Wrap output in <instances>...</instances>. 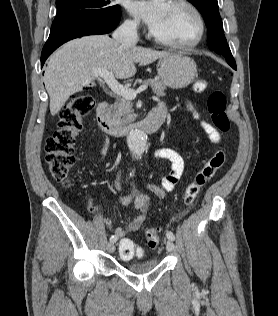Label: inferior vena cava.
<instances>
[{
	"label": "inferior vena cava",
	"instance_id": "obj_1",
	"mask_svg": "<svg viewBox=\"0 0 278 316\" xmlns=\"http://www.w3.org/2000/svg\"><path fill=\"white\" fill-rule=\"evenodd\" d=\"M112 37L124 46H134L138 42L137 23L125 21L114 31Z\"/></svg>",
	"mask_w": 278,
	"mask_h": 316
}]
</instances>
